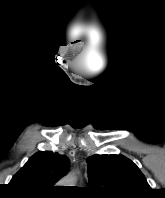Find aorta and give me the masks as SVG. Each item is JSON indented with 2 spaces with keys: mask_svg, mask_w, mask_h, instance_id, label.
Instances as JSON below:
<instances>
[{
  "mask_svg": "<svg viewBox=\"0 0 165 198\" xmlns=\"http://www.w3.org/2000/svg\"><path fill=\"white\" fill-rule=\"evenodd\" d=\"M75 182L76 177L73 175H69L63 179L62 184H64V186H73Z\"/></svg>",
  "mask_w": 165,
  "mask_h": 198,
  "instance_id": "762f6f07",
  "label": "aorta"
}]
</instances>
